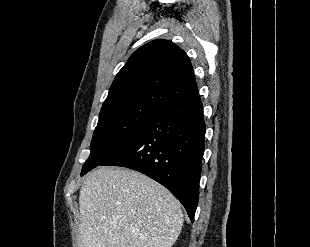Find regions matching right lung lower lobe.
<instances>
[{"instance_id":"obj_1","label":"right lung lower lobe","mask_w":310,"mask_h":247,"mask_svg":"<svg viewBox=\"0 0 310 247\" xmlns=\"http://www.w3.org/2000/svg\"><path fill=\"white\" fill-rule=\"evenodd\" d=\"M205 131L197 91L153 115L100 165L127 167L156 180L177 197L193 222Z\"/></svg>"}]
</instances>
